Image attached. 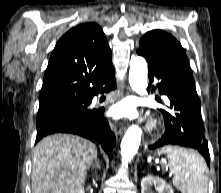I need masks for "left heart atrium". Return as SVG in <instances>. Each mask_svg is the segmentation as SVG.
Segmentation results:
<instances>
[{"instance_id":"left-heart-atrium-1","label":"left heart atrium","mask_w":221,"mask_h":193,"mask_svg":"<svg viewBox=\"0 0 221 193\" xmlns=\"http://www.w3.org/2000/svg\"><path fill=\"white\" fill-rule=\"evenodd\" d=\"M110 115L115 119L135 118L138 116L136 105L131 100H123L110 108Z\"/></svg>"}]
</instances>
